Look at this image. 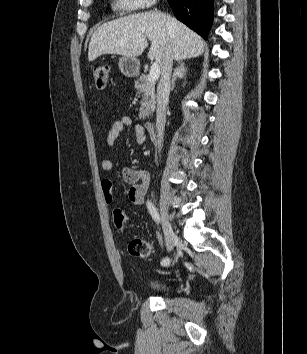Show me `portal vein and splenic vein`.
<instances>
[{
	"label": "portal vein and splenic vein",
	"instance_id": "obj_1",
	"mask_svg": "<svg viewBox=\"0 0 307 354\" xmlns=\"http://www.w3.org/2000/svg\"><path fill=\"white\" fill-rule=\"evenodd\" d=\"M159 75H160V66H159L158 62H154L151 66V69H150V72L148 75V80L154 82L158 79Z\"/></svg>",
	"mask_w": 307,
	"mask_h": 354
}]
</instances>
